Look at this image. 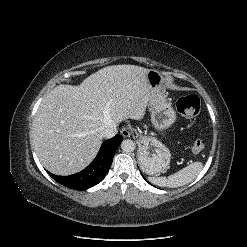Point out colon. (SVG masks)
<instances>
[{
	"mask_svg": "<svg viewBox=\"0 0 247 247\" xmlns=\"http://www.w3.org/2000/svg\"><path fill=\"white\" fill-rule=\"evenodd\" d=\"M177 111L190 121H194L200 110V100L198 96L190 94L181 97L176 102ZM205 148V144L202 140L197 139L192 145V151L194 153H200Z\"/></svg>",
	"mask_w": 247,
	"mask_h": 247,
	"instance_id": "colon-1",
	"label": "colon"
}]
</instances>
